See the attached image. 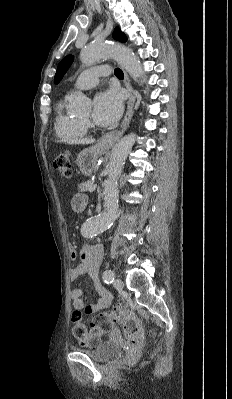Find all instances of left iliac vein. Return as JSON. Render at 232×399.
<instances>
[{
  "label": "left iliac vein",
  "mask_w": 232,
  "mask_h": 399,
  "mask_svg": "<svg viewBox=\"0 0 232 399\" xmlns=\"http://www.w3.org/2000/svg\"><path fill=\"white\" fill-rule=\"evenodd\" d=\"M112 285L114 286L115 289H118V291L124 289L123 281H121L120 278H115L114 281L112 282Z\"/></svg>",
  "instance_id": "1"
}]
</instances>
